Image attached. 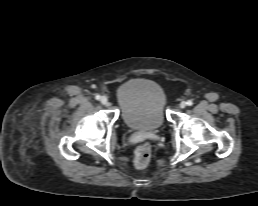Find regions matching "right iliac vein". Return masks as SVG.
Masks as SVG:
<instances>
[{
    "label": "right iliac vein",
    "mask_w": 258,
    "mask_h": 206,
    "mask_svg": "<svg viewBox=\"0 0 258 206\" xmlns=\"http://www.w3.org/2000/svg\"><path fill=\"white\" fill-rule=\"evenodd\" d=\"M100 102L103 104V105H107L108 104V99L106 96H102L100 98Z\"/></svg>",
    "instance_id": "right-iliac-vein-1"
}]
</instances>
